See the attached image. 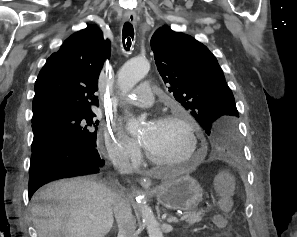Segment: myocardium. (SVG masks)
Returning a JSON list of instances; mask_svg holds the SVG:
<instances>
[{"label":"myocardium","mask_w":297,"mask_h":237,"mask_svg":"<svg viewBox=\"0 0 297 237\" xmlns=\"http://www.w3.org/2000/svg\"><path fill=\"white\" fill-rule=\"evenodd\" d=\"M159 122L164 123H176L181 125L185 130L189 137L190 142V150L189 152L180 159L175 160H163L155 157L146 147H145V156L146 158L154 165L158 166H172L179 165L185 162L190 161L198 152L199 149V140L196 132V128L193 122L184 114H168L160 117L158 119Z\"/></svg>","instance_id":"f54148a6"}]
</instances>
